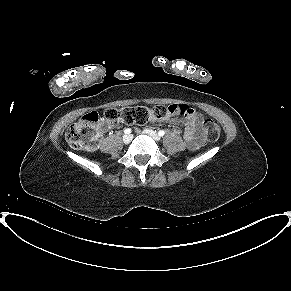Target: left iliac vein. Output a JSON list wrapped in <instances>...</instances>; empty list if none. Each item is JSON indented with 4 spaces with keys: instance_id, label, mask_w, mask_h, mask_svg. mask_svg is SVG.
I'll list each match as a JSON object with an SVG mask.
<instances>
[{
    "instance_id": "obj_1",
    "label": "left iliac vein",
    "mask_w": 291,
    "mask_h": 291,
    "mask_svg": "<svg viewBox=\"0 0 291 291\" xmlns=\"http://www.w3.org/2000/svg\"><path fill=\"white\" fill-rule=\"evenodd\" d=\"M143 132L149 135L153 140L160 141L159 135H157L156 132H154L153 130L145 129Z\"/></svg>"
}]
</instances>
